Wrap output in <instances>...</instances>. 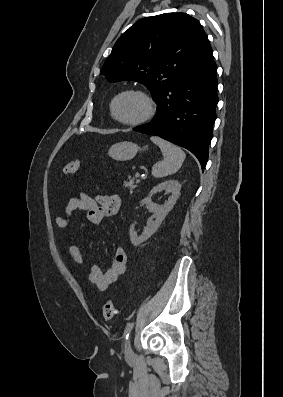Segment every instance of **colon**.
Segmentation results:
<instances>
[{"mask_svg": "<svg viewBox=\"0 0 283 397\" xmlns=\"http://www.w3.org/2000/svg\"><path fill=\"white\" fill-rule=\"evenodd\" d=\"M84 166L79 161H71L67 163L63 168L65 175H74L81 172ZM116 314V307L112 300L107 301L103 306V318L106 321L112 320Z\"/></svg>", "mask_w": 283, "mask_h": 397, "instance_id": "5ec220e1", "label": "colon"}]
</instances>
